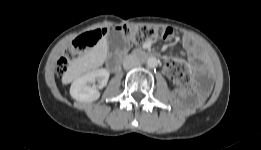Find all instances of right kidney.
<instances>
[{"mask_svg":"<svg viewBox=\"0 0 261 150\" xmlns=\"http://www.w3.org/2000/svg\"><path fill=\"white\" fill-rule=\"evenodd\" d=\"M109 75V71L104 68L83 74L72 83L70 95L80 102L96 101L100 97L99 89L106 86ZM96 82H98L97 85Z\"/></svg>","mask_w":261,"mask_h":150,"instance_id":"1","label":"right kidney"}]
</instances>
